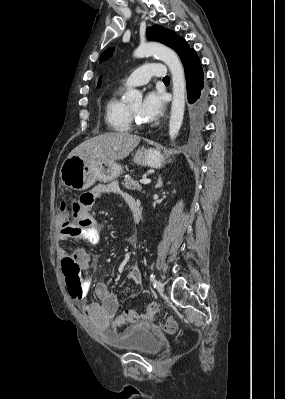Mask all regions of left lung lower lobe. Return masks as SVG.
Segmentation results:
<instances>
[{
	"label": "left lung lower lobe",
	"instance_id": "0a47b994",
	"mask_svg": "<svg viewBox=\"0 0 285 399\" xmlns=\"http://www.w3.org/2000/svg\"><path fill=\"white\" fill-rule=\"evenodd\" d=\"M180 58L185 71L188 102L196 114L202 115L206 108L207 93L203 89L204 75L200 59L193 48L185 51Z\"/></svg>",
	"mask_w": 285,
	"mask_h": 399
}]
</instances>
